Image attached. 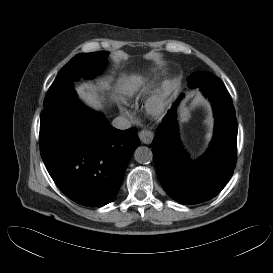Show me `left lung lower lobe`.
I'll use <instances>...</instances> for the list:
<instances>
[{"mask_svg": "<svg viewBox=\"0 0 273 273\" xmlns=\"http://www.w3.org/2000/svg\"><path fill=\"white\" fill-rule=\"evenodd\" d=\"M199 78L196 87L211 101L215 117L213 140L205 155L192 161L182 148L176 107L183 94L162 119L152 142L158 179L166 193L183 205L215 197L230 180L236 164L237 120L230 94L211 73L204 72Z\"/></svg>", "mask_w": 273, "mask_h": 273, "instance_id": "left-lung-lower-lobe-1", "label": "left lung lower lobe"}]
</instances>
